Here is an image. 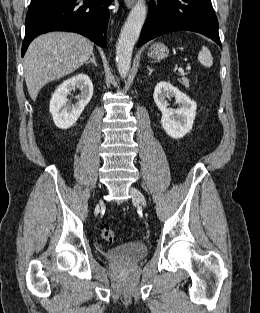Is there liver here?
Instances as JSON below:
<instances>
[{
	"instance_id": "liver-1",
	"label": "liver",
	"mask_w": 260,
	"mask_h": 313,
	"mask_svg": "<svg viewBox=\"0 0 260 313\" xmlns=\"http://www.w3.org/2000/svg\"><path fill=\"white\" fill-rule=\"evenodd\" d=\"M92 54L91 41L77 33L51 32L34 39L23 63L31 99L35 101L44 85L72 73Z\"/></svg>"
}]
</instances>
